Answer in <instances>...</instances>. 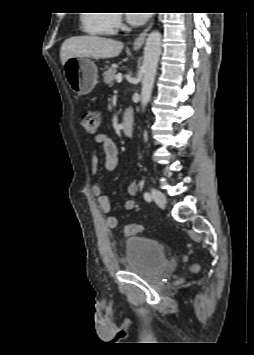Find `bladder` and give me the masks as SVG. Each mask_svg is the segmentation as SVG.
Listing matches in <instances>:
<instances>
[{
	"label": "bladder",
	"mask_w": 254,
	"mask_h": 355,
	"mask_svg": "<svg viewBox=\"0 0 254 355\" xmlns=\"http://www.w3.org/2000/svg\"><path fill=\"white\" fill-rule=\"evenodd\" d=\"M166 264V250L158 241L142 236H133L126 240L127 271L154 279L164 271Z\"/></svg>",
	"instance_id": "bladder-1"
}]
</instances>
